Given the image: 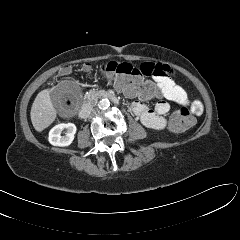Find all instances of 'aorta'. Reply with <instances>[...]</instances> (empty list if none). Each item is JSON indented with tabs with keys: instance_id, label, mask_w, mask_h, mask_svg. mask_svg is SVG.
Returning <instances> with one entry per match:
<instances>
[{
	"instance_id": "aorta-1",
	"label": "aorta",
	"mask_w": 240,
	"mask_h": 240,
	"mask_svg": "<svg viewBox=\"0 0 240 240\" xmlns=\"http://www.w3.org/2000/svg\"><path fill=\"white\" fill-rule=\"evenodd\" d=\"M110 107V101L108 99H101L98 103V108L101 110H106Z\"/></svg>"
}]
</instances>
